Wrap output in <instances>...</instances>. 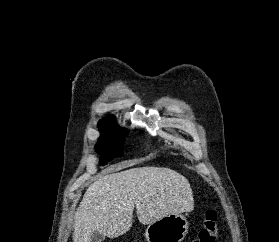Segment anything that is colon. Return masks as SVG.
<instances>
[{
    "label": "colon",
    "mask_w": 279,
    "mask_h": 242,
    "mask_svg": "<svg viewBox=\"0 0 279 242\" xmlns=\"http://www.w3.org/2000/svg\"><path fill=\"white\" fill-rule=\"evenodd\" d=\"M217 213L208 210L203 217V227L191 242H217Z\"/></svg>",
    "instance_id": "5ec220e1"
}]
</instances>
